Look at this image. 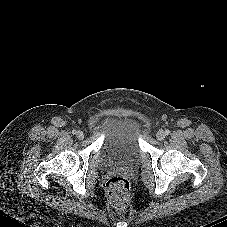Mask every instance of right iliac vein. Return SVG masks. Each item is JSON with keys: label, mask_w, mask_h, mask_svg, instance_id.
<instances>
[{"label": "right iliac vein", "mask_w": 227, "mask_h": 227, "mask_svg": "<svg viewBox=\"0 0 227 227\" xmlns=\"http://www.w3.org/2000/svg\"><path fill=\"white\" fill-rule=\"evenodd\" d=\"M76 135H77V138L80 139V140H82V139L84 138V133H83V131H80V130L77 131Z\"/></svg>", "instance_id": "obj_1"}]
</instances>
